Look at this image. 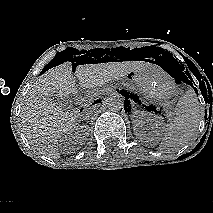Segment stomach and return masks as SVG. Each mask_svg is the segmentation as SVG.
Masks as SVG:
<instances>
[{"label": "stomach", "mask_w": 213, "mask_h": 213, "mask_svg": "<svg viewBox=\"0 0 213 213\" xmlns=\"http://www.w3.org/2000/svg\"><path fill=\"white\" fill-rule=\"evenodd\" d=\"M128 78L153 103H167L176 93V87L172 79L164 77L161 69L154 64L133 70L128 74Z\"/></svg>", "instance_id": "obj_1"}]
</instances>
